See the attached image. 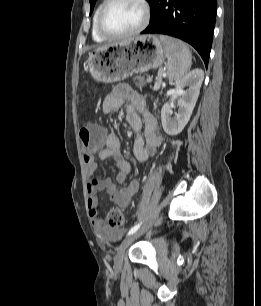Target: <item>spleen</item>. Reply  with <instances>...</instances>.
Listing matches in <instances>:
<instances>
[{
    "mask_svg": "<svg viewBox=\"0 0 261 306\" xmlns=\"http://www.w3.org/2000/svg\"><path fill=\"white\" fill-rule=\"evenodd\" d=\"M167 57V75L170 81L181 79L191 68L192 55L185 43L165 36H159Z\"/></svg>",
    "mask_w": 261,
    "mask_h": 306,
    "instance_id": "3e777b00",
    "label": "spleen"
}]
</instances>
